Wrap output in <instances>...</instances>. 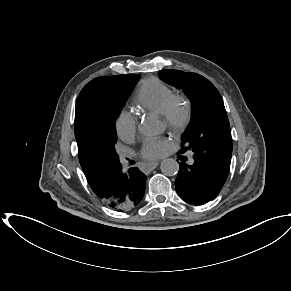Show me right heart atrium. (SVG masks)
<instances>
[{
	"label": "right heart atrium",
	"mask_w": 291,
	"mask_h": 291,
	"mask_svg": "<svg viewBox=\"0 0 291 291\" xmlns=\"http://www.w3.org/2000/svg\"><path fill=\"white\" fill-rule=\"evenodd\" d=\"M115 128L121 139L131 140L137 132V119L133 113L123 110L116 118Z\"/></svg>",
	"instance_id": "d8ad5b80"
}]
</instances>
